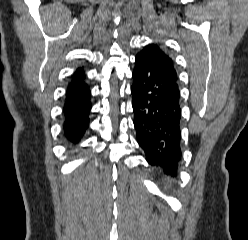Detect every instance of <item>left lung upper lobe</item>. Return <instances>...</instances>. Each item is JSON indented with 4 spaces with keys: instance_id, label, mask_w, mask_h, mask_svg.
I'll return each instance as SVG.
<instances>
[{
    "instance_id": "obj_1",
    "label": "left lung upper lobe",
    "mask_w": 248,
    "mask_h": 240,
    "mask_svg": "<svg viewBox=\"0 0 248 240\" xmlns=\"http://www.w3.org/2000/svg\"><path fill=\"white\" fill-rule=\"evenodd\" d=\"M138 54L143 55L156 65L171 80L177 83L178 76L174 68L173 60L156 44H149Z\"/></svg>"
}]
</instances>
